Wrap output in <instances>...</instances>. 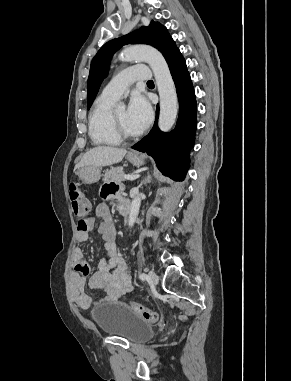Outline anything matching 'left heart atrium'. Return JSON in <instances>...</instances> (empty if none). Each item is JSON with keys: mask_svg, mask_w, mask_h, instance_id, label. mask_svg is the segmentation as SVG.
I'll return each mask as SVG.
<instances>
[{"mask_svg": "<svg viewBox=\"0 0 291 381\" xmlns=\"http://www.w3.org/2000/svg\"><path fill=\"white\" fill-rule=\"evenodd\" d=\"M127 112L130 122L138 132L143 131L151 122V106L147 99L139 93L132 95Z\"/></svg>", "mask_w": 291, "mask_h": 381, "instance_id": "obj_1", "label": "left heart atrium"}]
</instances>
